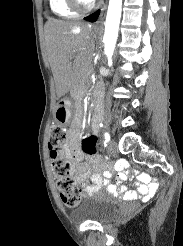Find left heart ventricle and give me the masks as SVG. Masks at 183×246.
I'll return each mask as SVG.
<instances>
[{
  "instance_id": "obj_1",
  "label": "left heart ventricle",
  "mask_w": 183,
  "mask_h": 246,
  "mask_svg": "<svg viewBox=\"0 0 183 246\" xmlns=\"http://www.w3.org/2000/svg\"><path fill=\"white\" fill-rule=\"evenodd\" d=\"M83 1L88 2V1H90V0H83Z\"/></svg>"
}]
</instances>
